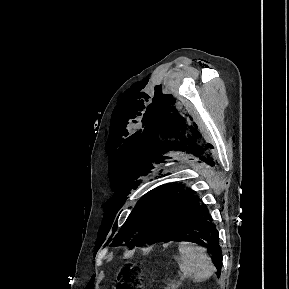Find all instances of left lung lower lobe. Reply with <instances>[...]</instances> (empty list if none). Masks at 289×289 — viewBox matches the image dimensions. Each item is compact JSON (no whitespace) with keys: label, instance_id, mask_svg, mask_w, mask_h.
<instances>
[{"label":"left lung lower lobe","instance_id":"left-lung-lower-lobe-1","mask_svg":"<svg viewBox=\"0 0 289 289\" xmlns=\"http://www.w3.org/2000/svg\"><path fill=\"white\" fill-rule=\"evenodd\" d=\"M195 193L182 189L167 205L168 215L162 241L175 237L191 238L192 242L200 244L212 251L217 258L215 264L218 273L221 272L222 258L219 246L218 231L212 223V218L205 204Z\"/></svg>","mask_w":289,"mask_h":289}]
</instances>
